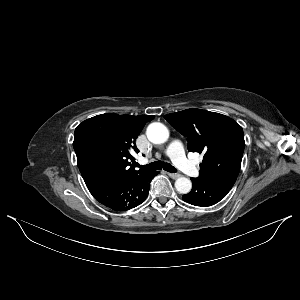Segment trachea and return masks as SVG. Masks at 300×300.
Here are the masks:
<instances>
[{
	"mask_svg": "<svg viewBox=\"0 0 300 300\" xmlns=\"http://www.w3.org/2000/svg\"><path fill=\"white\" fill-rule=\"evenodd\" d=\"M136 166L141 169L150 170V171L159 170V169L163 168L165 171L170 172V173L177 172V169H175L171 164H169L167 162H162V161H155V162H152L147 165H140L137 163Z\"/></svg>",
	"mask_w": 300,
	"mask_h": 300,
	"instance_id": "trachea-1",
	"label": "trachea"
}]
</instances>
